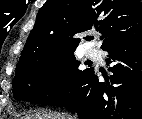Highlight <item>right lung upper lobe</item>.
<instances>
[{"label": "right lung upper lobe", "instance_id": "obj_1", "mask_svg": "<svg viewBox=\"0 0 142 119\" xmlns=\"http://www.w3.org/2000/svg\"><path fill=\"white\" fill-rule=\"evenodd\" d=\"M98 30L101 49L142 36L138 0H47L40 8L17 69L43 56L75 51L79 33Z\"/></svg>", "mask_w": 142, "mask_h": 119}]
</instances>
